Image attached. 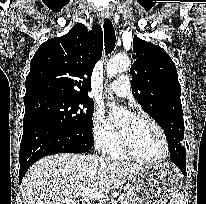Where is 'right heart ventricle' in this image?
Instances as JSON below:
<instances>
[{"instance_id": "1", "label": "right heart ventricle", "mask_w": 206, "mask_h": 204, "mask_svg": "<svg viewBox=\"0 0 206 204\" xmlns=\"http://www.w3.org/2000/svg\"><path fill=\"white\" fill-rule=\"evenodd\" d=\"M106 153L109 157H111L113 159H125V158H127V156L121 150L118 140L113 145V147Z\"/></svg>"}]
</instances>
